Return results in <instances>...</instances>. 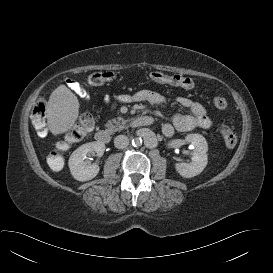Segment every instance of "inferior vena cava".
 I'll use <instances>...</instances> for the list:
<instances>
[{
  "mask_svg": "<svg viewBox=\"0 0 273 273\" xmlns=\"http://www.w3.org/2000/svg\"><path fill=\"white\" fill-rule=\"evenodd\" d=\"M129 145V139L125 135H118L114 139V146L118 149L126 148Z\"/></svg>",
  "mask_w": 273,
  "mask_h": 273,
  "instance_id": "obj_1",
  "label": "inferior vena cava"
}]
</instances>
